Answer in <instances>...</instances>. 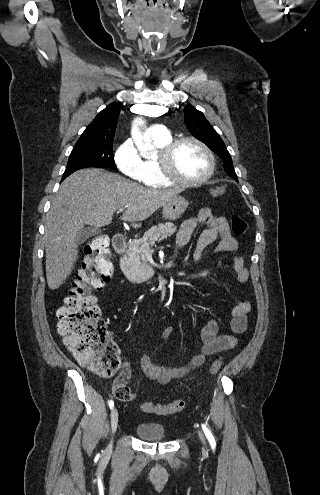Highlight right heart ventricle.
Masks as SVG:
<instances>
[{"mask_svg": "<svg viewBox=\"0 0 320 495\" xmlns=\"http://www.w3.org/2000/svg\"><path fill=\"white\" fill-rule=\"evenodd\" d=\"M151 142L155 145L157 149V153L153 156L146 157L143 160V167H144V172H145V180L144 183L147 186L153 187V188H165L173 185L172 182L168 181L161 173L159 164H158V153L159 151L167 145L172 138L166 137V138H158V137H149Z\"/></svg>", "mask_w": 320, "mask_h": 495, "instance_id": "e07e8e85", "label": "right heart ventricle"}]
</instances>
